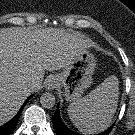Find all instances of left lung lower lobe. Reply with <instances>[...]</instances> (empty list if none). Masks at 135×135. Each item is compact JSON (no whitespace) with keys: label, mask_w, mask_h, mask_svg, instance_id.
Segmentation results:
<instances>
[{"label":"left lung lower lobe","mask_w":135,"mask_h":135,"mask_svg":"<svg viewBox=\"0 0 135 135\" xmlns=\"http://www.w3.org/2000/svg\"><path fill=\"white\" fill-rule=\"evenodd\" d=\"M58 106H59V104H58ZM52 121H53L57 135H82V134L73 132L69 128H67V126L61 120L58 108H57L56 113L52 116ZM112 128H113V126H111L106 131L100 133L99 135H108L111 132Z\"/></svg>","instance_id":"obj_1"}]
</instances>
